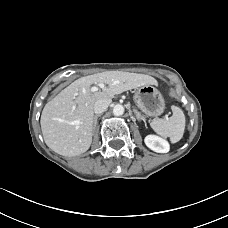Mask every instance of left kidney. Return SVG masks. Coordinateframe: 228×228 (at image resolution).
Wrapping results in <instances>:
<instances>
[{
  "instance_id": "1",
  "label": "left kidney",
  "mask_w": 228,
  "mask_h": 228,
  "mask_svg": "<svg viewBox=\"0 0 228 228\" xmlns=\"http://www.w3.org/2000/svg\"><path fill=\"white\" fill-rule=\"evenodd\" d=\"M144 141L148 148L157 153H167L169 151L168 142L158 136L148 135L145 137Z\"/></svg>"
}]
</instances>
